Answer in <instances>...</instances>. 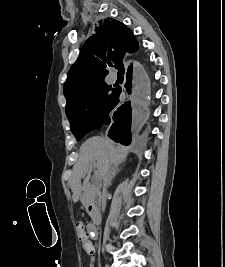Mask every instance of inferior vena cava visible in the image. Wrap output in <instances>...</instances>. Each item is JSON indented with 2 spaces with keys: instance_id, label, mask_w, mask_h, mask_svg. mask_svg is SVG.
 Returning a JSON list of instances; mask_svg holds the SVG:
<instances>
[{
  "instance_id": "602c4592",
  "label": "inferior vena cava",
  "mask_w": 225,
  "mask_h": 267,
  "mask_svg": "<svg viewBox=\"0 0 225 267\" xmlns=\"http://www.w3.org/2000/svg\"><path fill=\"white\" fill-rule=\"evenodd\" d=\"M111 176V168L108 167L103 175V185H102V191L100 193L99 200L102 203V210H104V202H105V195L107 187L109 186V180Z\"/></svg>"
}]
</instances>
